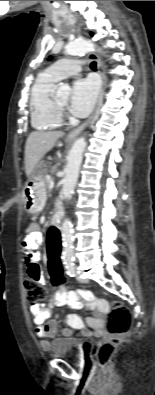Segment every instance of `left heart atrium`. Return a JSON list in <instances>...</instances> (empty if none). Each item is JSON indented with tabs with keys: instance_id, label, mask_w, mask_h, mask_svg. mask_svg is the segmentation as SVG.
I'll use <instances>...</instances> for the list:
<instances>
[{
	"instance_id": "39dd6f15",
	"label": "left heart atrium",
	"mask_w": 155,
	"mask_h": 395,
	"mask_svg": "<svg viewBox=\"0 0 155 395\" xmlns=\"http://www.w3.org/2000/svg\"><path fill=\"white\" fill-rule=\"evenodd\" d=\"M98 82L93 77L77 79L72 88L69 109L78 117L89 114L96 101Z\"/></svg>"
}]
</instances>
